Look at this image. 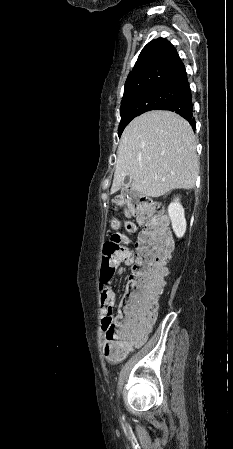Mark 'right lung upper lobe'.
<instances>
[{
	"mask_svg": "<svg viewBox=\"0 0 233 449\" xmlns=\"http://www.w3.org/2000/svg\"><path fill=\"white\" fill-rule=\"evenodd\" d=\"M187 84L186 70L176 49L165 38H158L142 49L127 77L123 96L156 86L182 89Z\"/></svg>",
	"mask_w": 233,
	"mask_h": 449,
	"instance_id": "cb5924a9",
	"label": "right lung upper lobe"
}]
</instances>
